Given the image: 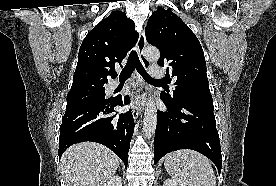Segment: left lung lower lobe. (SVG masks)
Instances as JSON below:
<instances>
[{
	"mask_svg": "<svg viewBox=\"0 0 276 186\" xmlns=\"http://www.w3.org/2000/svg\"><path fill=\"white\" fill-rule=\"evenodd\" d=\"M167 111H157L154 138V163L164 155L180 149H192L208 157L222 168L221 147L213 102L175 105L161 93Z\"/></svg>",
	"mask_w": 276,
	"mask_h": 186,
	"instance_id": "1",
	"label": "left lung lower lobe"
}]
</instances>
